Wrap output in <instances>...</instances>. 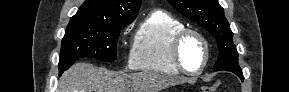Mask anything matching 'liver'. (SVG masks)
<instances>
[{
    "label": "liver",
    "mask_w": 289,
    "mask_h": 92,
    "mask_svg": "<svg viewBox=\"0 0 289 92\" xmlns=\"http://www.w3.org/2000/svg\"><path fill=\"white\" fill-rule=\"evenodd\" d=\"M181 80L142 72L118 75L106 68L76 63L60 78L59 92H160Z\"/></svg>",
    "instance_id": "6515ba94"
}]
</instances>
